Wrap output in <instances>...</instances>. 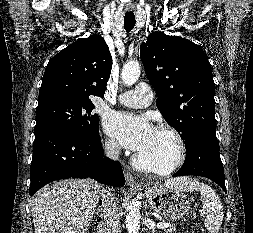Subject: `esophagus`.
<instances>
[{
  "label": "esophagus",
  "mask_w": 253,
  "mask_h": 233,
  "mask_svg": "<svg viewBox=\"0 0 253 233\" xmlns=\"http://www.w3.org/2000/svg\"><path fill=\"white\" fill-rule=\"evenodd\" d=\"M124 175H125V179L128 185L130 186H139V183H136L134 176L132 175V173L127 169L124 168Z\"/></svg>",
  "instance_id": "34e87169"
}]
</instances>
